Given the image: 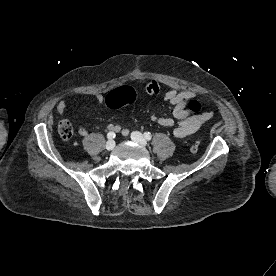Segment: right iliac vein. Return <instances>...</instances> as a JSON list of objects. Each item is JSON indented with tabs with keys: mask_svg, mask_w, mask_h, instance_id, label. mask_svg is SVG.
<instances>
[{
	"mask_svg": "<svg viewBox=\"0 0 276 276\" xmlns=\"http://www.w3.org/2000/svg\"><path fill=\"white\" fill-rule=\"evenodd\" d=\"M114 147H115V141L112 140V139H111V140H108V141L106 142V144H105V148H106V150H108V151L113 150Z\"/></svg>",
	"mask_w": 276,
	"mask_h": 276,
	"instance_id": "right-iliac-vein-1",
	"label": "right iliac vein"
}]
</instances>
